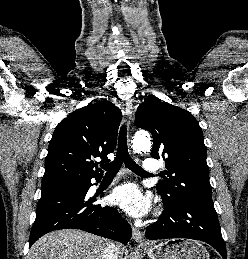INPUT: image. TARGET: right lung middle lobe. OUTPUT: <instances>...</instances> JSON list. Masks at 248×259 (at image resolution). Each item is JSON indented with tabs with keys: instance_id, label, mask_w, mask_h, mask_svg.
Returning a JSON list of instances; mask_svg holds the SVG:
<instances>
[{
	"instance_id": "obj_1",
	"label": "right lung middle lobe",
	"mask_w": 248,
	"mask_h": 259,
	"mask_svg": "<svg viewBox=\"0 0 248 259\" xmlns=\"http://www.w3.org/2000/svg\"><path fill=\"white\" fill-rule=\"evenodd\" d=\"M85 181H75V182H66V183H60V184H54V185H42L41 188H49V187H55V186H63V185H82Z\"/></svg>"
}]
</instances>
